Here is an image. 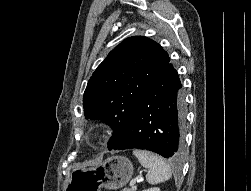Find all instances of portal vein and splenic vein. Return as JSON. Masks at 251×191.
Here are the masks:
<instances>
[{"label": "portal vein and splenic vein", "mask_w": 251, "mask_h": 191, "mask_svg": "<svg viewBox=\"0 0 251 191\" xmlns=\"http://www.w3.org/2000/svg\"><path fill=\"white\" fill-rule=\"evenodd\" d=\"M136 181H142V177H141V179H131L130 186H133L134 183H136Z\"/></svg>", "instance_id": "obj_1"}]
</instances>
